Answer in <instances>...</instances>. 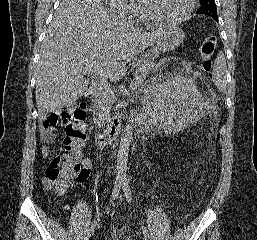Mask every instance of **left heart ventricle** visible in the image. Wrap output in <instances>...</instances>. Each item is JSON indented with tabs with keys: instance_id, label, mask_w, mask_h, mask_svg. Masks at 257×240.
<instances>
[{
	"instance_id": "left-heart-ventricle-1",
	"label": "left heart ventricle",
	"mask_w": 257,
	"mask_h": 240,
	"mask_svg": "<svg viewBox=\"0 0 257 240\" xmlns=\"http://www.w3.org/2000/svg\"><path fill=\"white\" fill-rule=\"evenodd\" d=\"M152 5L160 16L174 18L185 11L187 0H152Z\"/></svg>"
}]
</instances>
